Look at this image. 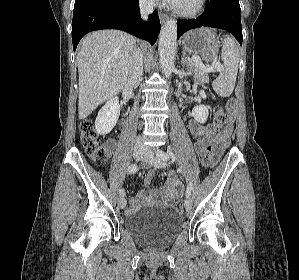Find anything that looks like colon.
Wrapping results in <instances>:
<instances>
[{"instance_id": "obj_1", "label": "colon", "mask_w": 299, "mask_h": 280, "mask_svg": "<svg viewBox=\"0 0 299 280\" xmlns=\"http://www.w3.org/2000/svg\"><path fill=\"white\" fill-rule=\"evenodd\" d=\"M234 102L229 101L228 107L233 108ZM227 122V114L221 107H215L213 109V125L216 130H221ZM80 141L85 149L87 155L94 161L103 159L105 155L104 148L99 139V135L95 130L94 124L90 120H85L80 125ZM203 166L208 167L211 163V156L209 152L204 153L200 157ZM174 208L178 212H182L183 203L177 201Z\"/></svg>"}]
</instances>
